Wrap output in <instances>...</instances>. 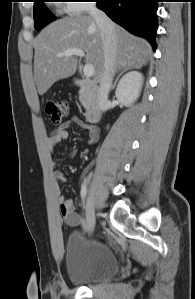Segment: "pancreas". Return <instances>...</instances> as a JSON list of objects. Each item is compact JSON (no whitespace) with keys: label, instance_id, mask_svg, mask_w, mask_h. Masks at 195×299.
Returning a JSON list of instances; mask_svg holds the SVG:
<instances>
[{"label":"pancreas","instance_id":"1","mask_svg":"<svg viewBox=\"0 0 195 299\" xmlns=\"http://www.w3.org/2000/svg\"><path fill=\"white\" fill-rule=\"evenodd\" d=\"M80 94V102L81 104L85 107L88 108L89 107V98H90V94L87 92V90H81L79 92Z\"/></svg>","mask_w":195,"mask_h":299}]
</instances>
